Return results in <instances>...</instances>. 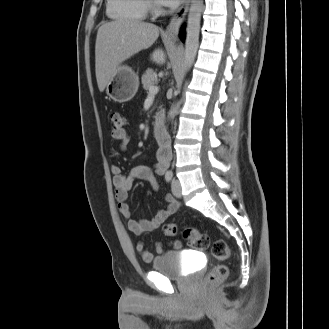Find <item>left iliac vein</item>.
<instances>
[{
    "label": "left iliac vein",
    "instance_id": "4c4485c4",
    "mask_svg": "<svg viewBox=\"0 0 329 329\" xmlns=\"http://www.w3.org/2000/svg\"><path fill=\"white\" fill-rule=\"evenodd\" d=\"M172 193L177 198H181V196H182L180 182L176 179H174L172 182Z\"/></svg>",
    "mask_w": 329,
    "mask_h": 329
}]
</instances>
